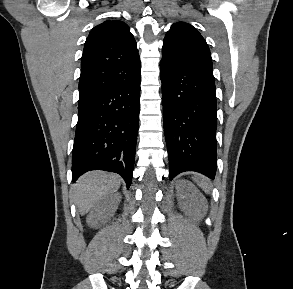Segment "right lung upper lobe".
<instances>
[{"instance_id":"cb5924a9","label":"right lung upper lobe","mask_w":293,"mask_h":289,"mask_svg":"<svg viewBox=\"0 0 293 289\" xmlns=\"http://www.w3.org/2000/svg\"><path fill=\"white\" fill-rule=\"evenodd\" d=\"M140 69L136 41L128 25L119 20L99 24L85 42L78 103L136 80Z\"/></svg>"}]
</instances>
